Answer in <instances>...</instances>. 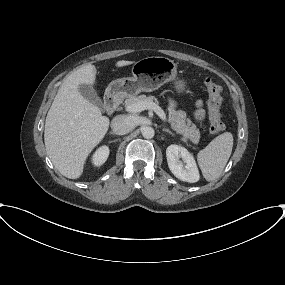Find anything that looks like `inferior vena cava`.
<instances>
[{
	"label": "inferior vena cava",
	"instance_id": "602c4592",
	"mask_svg": "<svg viewBox=\"0 0 285 285\" xmlns=\"http://www.w3.org/2000/svg\"><path fill=\"white\" fill-rule=\"evenodd\" d=\"M135 127L134 121L127 115H118L111 122V129L116 135H125Z\"/></svg>",
	"mask_w": 285,
	"mask_h": 285
}]
</instances>
